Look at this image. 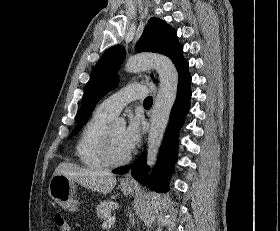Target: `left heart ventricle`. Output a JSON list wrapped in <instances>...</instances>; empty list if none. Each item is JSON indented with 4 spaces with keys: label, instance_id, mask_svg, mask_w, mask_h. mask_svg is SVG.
<instances>
[{
    "label": "left heart ventricle",
    "instance_id": "left-heart-ventricle-1",
    "mask_svg": "<svg viewBox=\"0 0 280 231\" xmlns=\"http://www.w3.org/2000/svg\"><path fill=\"white\" fill-rule=\"evenodd\" d=\"M123 126L110 125V146L114 157L121 158L127 155L120 146L119 137Z\"/></svg>",
    "mask_w": 280,
    "mask_h": 231
}]
</instances>
